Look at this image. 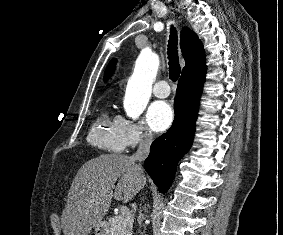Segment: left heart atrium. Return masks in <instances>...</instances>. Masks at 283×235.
<instances>
[{
	"label": "left heart atrium",
	"instance_id": "left-heart-atrium-1",
	"mask_svg": "<svg viewBox=\"0 0 283 235\" xmlns=\"http://www.w3.org/2000/svg\"><path fill=\"white\" fill-rule=\"evenodd\" d=\"M146 120L153 131L162 132L172 124L173 111L168 103L156 101L148 107Z\"/></svg>",
	"mask_w": 283,
	"mask_h": 235
}]
</instances>
